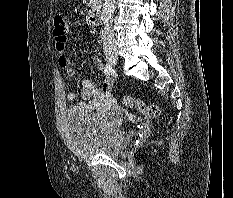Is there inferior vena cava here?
I'll use <instances>...</instances> for the list:
<instances>
[{"mask_svg":"<svg viewBox=\"0 0 233 198\" xmlns=\"http://www.w3.org/2000/svg\"><path fill=\"white\" fill-rule=\"evenodd\" d=\"M103 49L105 52L116 50V39L112 26L109 22L104 23L102 31Z\"/></svg>","mask_w":233,"mask_h":198,"instance_id":"inferior-vena-cava-1","label":"inferior vena cava"}]
</instances>
